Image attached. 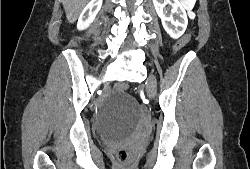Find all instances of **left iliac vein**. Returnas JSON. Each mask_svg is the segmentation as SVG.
Masks as SVG:
<instances>
[{"instance_id": "obj_1", "label": "left iliac vein", "mask_w": 250, "mask_h": 169, "mask_svg": "<svg viewBox=\"0 0 250 169\" xmlns=\"http://www.w3.org/2000/svg\"><path fill=\"white\" fill-rule=\"evenodd\" d=\"M147 93L150 98H153L157 92V81L153 74L148 76L147 80Z\"/></svg>"}]
</instances>
